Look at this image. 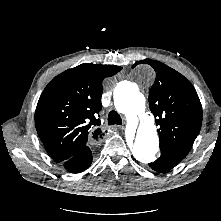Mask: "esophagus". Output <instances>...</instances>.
<instances>
[{"label": "esophagus", "mask_w": 221, "mask_h": 221, "mask_svg": "<svg viewBox=\"0 0 221 221\" xmlns=\"http://www.w3.org/2000/svg\"><path fill=\"white\" fill-rule=\"evenodd\" d=\"M116 128H117V129H120V130H123V129H124V126L118 125V126H116Z\"/></svg>", "instance_id": "34e87169"}]
</instances>
